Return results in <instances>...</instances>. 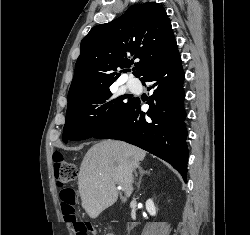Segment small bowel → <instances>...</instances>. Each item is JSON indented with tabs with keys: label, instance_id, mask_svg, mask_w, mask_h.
Masks as SVG:
<instances>
[{
	"label": "small bowel",
	"instance_id": "obj_1",
	"mask_svg": "<svg viewBox=\"0 0 250 235\" xmlns=\"http://www.w3.org/2000/svg\"><path fill=\"white\" fill-rule=\"evenodd\" d=\"M89 229H91L92 230V228H89ZM108 235H115L114 233H109Z\"/></svg>",
	"mask_w": 250,
	"mask_h": 235
}]
</instances>
